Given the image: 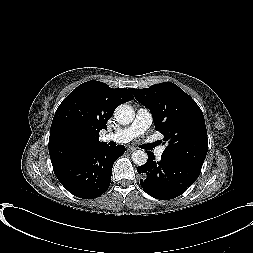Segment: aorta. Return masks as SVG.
Returning <instances> with one entry per match:
<instances>
[{
	"label": "aorta",
	"mask_w": 253,
	"mask_h": 253,
	"mask_svg": "<svg viewBox=\"0 0 253 253\" xmlns=\"http://www.w3.org/2000/svg\"><path fill=\"white\" fill-rule=\"evenodd\" d=\"M116 121L121 125L131 123L135 117L134 109L127 105H119L114 113ZM132 160L135 164L142 166L147 162L148 156L144 150H136L132 153Z\"/></svg>",
	"instance_id": "762f6f07"
}]
</instances>
